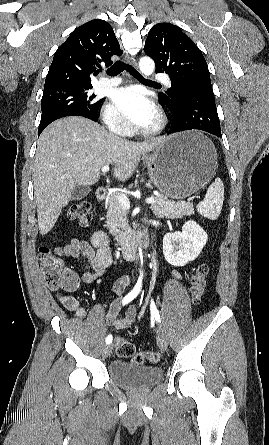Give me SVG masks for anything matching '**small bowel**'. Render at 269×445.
<instances>
[{
    "mask_svg": "<svg viewBox=\"0 0 269 445\" xmlns=\"http://www.w3.org/2000/svg\"><path fill=\"white\" fill-rule=\"evenodd\" d=\"M57 257H71L78 260L83 268L82 281L85 284H92L97 281L112 263L111 252L108 247V238L103 231H96L91 237V242L84 239H71L65 245L57 247L54 250ZM67 273L72 276L78 284L77 275L67 269ZM174 277L179 278L178 273H173ZM131 284V278L122 276L116 280L113 285L115 298L112 300L106 314V323L117 329L124 330L134 323L137 309L131 305L125 315L118 317L121 302L120 295L123 290ZM61 300L65 308L73 312L78 318H84L87 314L85 308L79 305L76 298L62 295Z\"/></svg>",
    "mask_w": 269,
    "mask_h": 445,
    "instance_id": "1",
    "label": "small bowel"
}]
</instances>
